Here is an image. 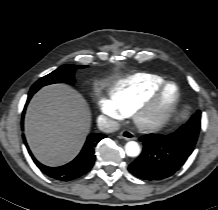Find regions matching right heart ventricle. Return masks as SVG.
Returning <instances> with one entry per match:
<instances>
[{"mask_svg": "<svg viewBox=\"0 0 218 210\" xmlns=\"http://www.w3.org/2000/svg\"><path fill=\"white\" fill-rule=\"evenodd\" d=\"M165 79L157 74L137 73L119 80L111 91V96L123 114H131L144 102Z\"/></svg>", "mask_w": 218, "mask_h": 210, "instance_id": "e07e8e85", "label": "right heart ventricle"}]
</instances>
